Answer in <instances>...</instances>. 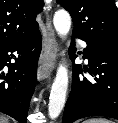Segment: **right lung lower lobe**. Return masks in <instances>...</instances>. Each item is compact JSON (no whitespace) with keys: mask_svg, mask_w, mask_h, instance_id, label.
Wrapping results in <instances>:
<instances>
[{"mask_svg":"<svg viewBox=\"0 0 118 123\" xmlns=\"http://www.w3.org/2000/svg\"><path fill=\"white\" fill-rule=\"evenodd\" d=\"M42 46L40 31L33 36L0 46V112L26 123L30 99L37 80ZM17 53L18 57L10 53ZM15 59V63L11 59ZM8 67V72L4 70Z\"/></svg>","mask_w":118,"mask_h":123,"instance_id":"1","label":"right lung lower lobe"}]
</instances>
